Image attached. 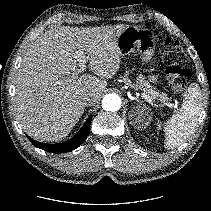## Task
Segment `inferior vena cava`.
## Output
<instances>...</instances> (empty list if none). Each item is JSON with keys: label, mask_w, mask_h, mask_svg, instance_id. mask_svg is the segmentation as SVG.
Returning <instances> with one entry per match:
<instances>
[{"label": "inferior vena cava", "mask_w": 211, "mask_h": 211, "mask_svg": "<svg viewBox=\"0 0 211 211\" xmlns=\"http://www.w3.org/2000/svg\"><path fill=\"white\" fill-rule=\"evenodd\" d=\"M93 96L91 94H84L80 97V101L82 104L86 105V106H90L93 104Z\"/></svg>", "instance_id": "obj_1"}]
</instances>
